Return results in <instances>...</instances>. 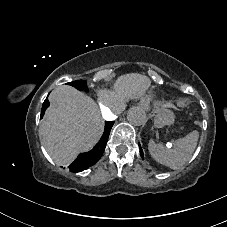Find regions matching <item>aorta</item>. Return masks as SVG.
I'll list each match as a JSON object with an SVG mask.
<instances>
[{
	"mask_svg": "<svg viewBox=\"0 0 227 227\" xmlns=\"http://www.w3.org/2000/svg\"><path fill=\"white\" fill-rule=\"evenodd\" d=\"M127 120L134 126H140L146 123L147 114L142 108L133 107L127 112Z\"/></svg>",
	"mask_w": 227,
	"mask_h": 227,
	"instance_id": "aorta-1",
	"label": "aorta"
}]
</instances>
